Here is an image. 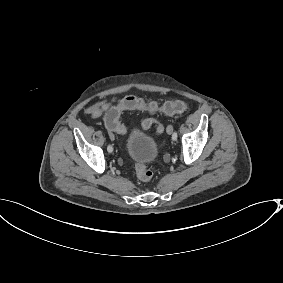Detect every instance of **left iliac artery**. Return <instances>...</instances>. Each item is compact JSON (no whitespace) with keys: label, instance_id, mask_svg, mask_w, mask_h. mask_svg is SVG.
Returning <instances> with one entry per match:
<instances>
[{"label":"left iliac artery","instance_id":"1","mask_svg":"<svg viewBox=\"0 0 283 283\" xmlns=\"http://www.w3.org/2000/svg\"><path fill=\"white\" fill-rule=\"evenodd\" d=\"M177 137H178V134H177L176 131H174L173 134H172V139L177 140Z\"/></svg>","mask_w":283,"mask_h":283}]
</instances>
